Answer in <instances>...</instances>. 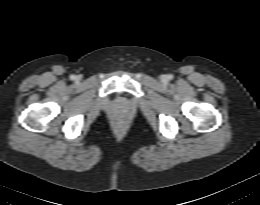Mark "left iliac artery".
Returning a JSON list of instances; mask_svg holds the SVG:
<instances>
[{
  "label": "left iliac artery",
  "mask_w": 260,
  "mask_h": 205,
  "mask_svg": "<svg viewBox=\"0 0 260 205\" xmlns=\"http://www.w3.org/2000/svg\"><path fill=\"white\" fill-rule=\"evenodd\" d=\"M168 79H169V80H172V79H173V75L169 74V75H168Z\"/></svg>",
  "instance_id": "44dca946"
}]
</instances>
